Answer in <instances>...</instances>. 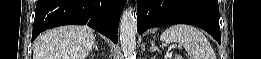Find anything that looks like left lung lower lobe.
Listing matches in <instances>:
<instances>
[{
  "instance_id": "1",
  "label": "left lung lower lobe",
  "mask_w": 261,
  "mask_h": 59,
  "mask_svg": "<svg viewBox=\"0 0 261 59\" xmlns=\"http://www.w3.org/2000/svg\"><path fill=\"white\" fill-rule=\"evenodd\" d=\"M175 23L200 27L221 43L217 0H138L139 34L151 27Z\"/></svg>"
}]
</instances>
